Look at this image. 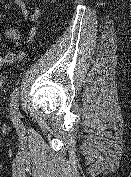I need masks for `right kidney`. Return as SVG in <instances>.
<instances>
[{
    "label": "right kidney",
    "instance_id": "1",
    "mask_svg": "<svg viewBox=\"0 0 131 177\" xmlns=\"http://www.w3.org/2000/svg\"><path fill=\"white\" fill-rule=\"evenodd\" d=\"M52 2H55L56 0H51Z\"/></svg>",
    "mask_w": 131,
    "mask_h": 177
}]
</instances>
